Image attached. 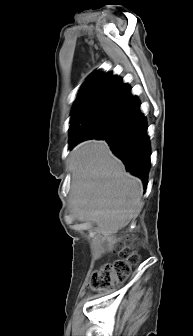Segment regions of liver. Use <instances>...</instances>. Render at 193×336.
Returning a JSON list of instances; mask_svg holds the SVG:
<instances>
[{
	"instance_id": "obj_1",
	"label": "liver",
	"mask_w": 193,
	"mask_h": 336,
	"mask_svg": "<svg viewBox=\"0 0 193 336\" xmlns=\"http://www.w3.org/2000/svg\"><path fill=\"white\" fill-rule=\"evenodd\" d=\"M67 168L71 173V213L78 221L92 222L98 233L110 236L140 213L142 182L126 172L105 141L78 144Z\"/></svg>"
}]
</instances>
